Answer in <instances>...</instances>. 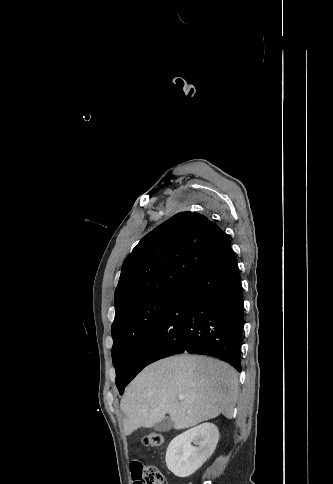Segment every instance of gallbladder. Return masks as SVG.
I'll use <instances>...</instances> for the list:
<instances>
[{"label":"gallbladder","instance_id":"bac80fb5","mask_svg":"<svg viewBox=\"0 0 333 484\" xmlns=\"http://www.w3.org/2000/svg\"><path fill=\"white\" fill-rule=\"evenodd\" d=\"M173 427V421L170 419V417H164L161 421L157 422L154 425L155 431L158 432H167L170 431Z\"/></svg>","mask_w":333,"mask_h":484}]
</instances>
